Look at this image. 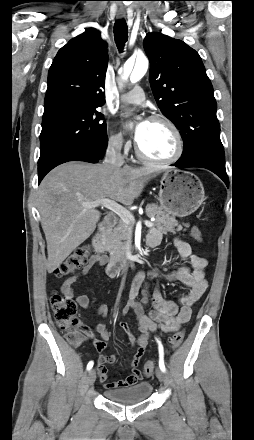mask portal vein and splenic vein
<instances>
[{
    "mask_svg": "<svg viewBox=\"0 0 254 440\" xmlns=\"http://www.w3.org/2000/svg\"><path fill=\"white\" fill-rule=\"evenodd\" d=\"M84 207L92 208L97 206H103L112 212H114L116 215L120 217V219L125 222L126 224H134L135 218L130 211H128L126 208H124L122 205L116 203L113 200L110 199H99L96 201H91L83 204ZM144 224L147 227H152L154 224L151 221L145 220Z\"/></svg>",
    "mask_w": 254,
    "mask_h": 440,
    "instance_id": "1",
    "label": "portal vein and splenic vein"
}]
</instances>
